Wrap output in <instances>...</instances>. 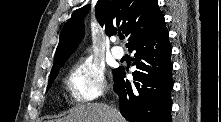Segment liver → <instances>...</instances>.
<instances>
[{
  "mask_svg": "<svg viewBox=\"0 0 221 122\" xmlns=\"http://www.w3.org/2000/svg\"><path fill=\"white\" fill-rule=\"evenodd\" d=\"M105 104L88 103L78 105L70 114L58 122H125V119L117 111Z\"/></svg>",
  "mask_w": 221,
  "mask_h": 122,
  "instance_id": "obj_1",
  "label": "liver"
}]
</instances>
